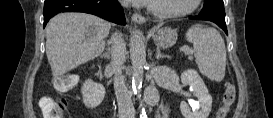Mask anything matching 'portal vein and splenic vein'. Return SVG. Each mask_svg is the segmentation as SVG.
<instances>
[{
    "label": "portal vein and splenic vein",
    "instance_id": "obj_1",
    "mask_svg": "<svg viewBox=\"0 0 273 118\" xmlns=\"http://www.w3.org/2000/svg\"><path fill=\"white\" fill-rule=\"evenodd\" d=\"M182 51H184L186 54L191 53V50L188 47L181 48Z\"/></svg>",
    "mask_w": 273,
    "mask_h": 118
}]
</instances>
